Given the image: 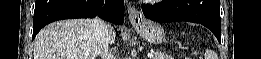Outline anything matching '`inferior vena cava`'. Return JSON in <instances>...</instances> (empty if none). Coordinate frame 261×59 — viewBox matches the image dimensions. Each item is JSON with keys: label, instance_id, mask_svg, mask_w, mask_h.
Returning <instances> with one entry per match:
<instances>
[{"label": "inferior vena cava", "instance_id": "1", "mask_svg": "<svg viewBox=\"0 0 261 59\" xmlns=\"http://www.w3.org/2000/svg\"><path fill=\"white\" fill-rule=\"evenodd\" d=\"M92 31L96 42L99 45V54L101 59H113V56L109 51V26L105 21L95 18L92 20Z\"/></svg>", "mask_w": 261, "mask_h": 59}]
</instances>
